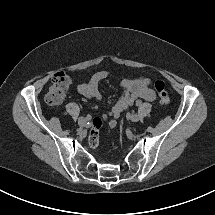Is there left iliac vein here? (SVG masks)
<instances>
[{"mask_svg":"<svg viewBox=\"0 0 215 215\" xmlns=\"http://www.w3.org/2000/svg\"><path fill=\"white\" fill-rule=\"evenodd\" d=\"M129 118L132 122H138L141 119V116L138 114H131Z\"/></svg>","mask_w":215,"mask_h":215,"instance_id":"1","label":"left iliac vein"}]
</instances>
